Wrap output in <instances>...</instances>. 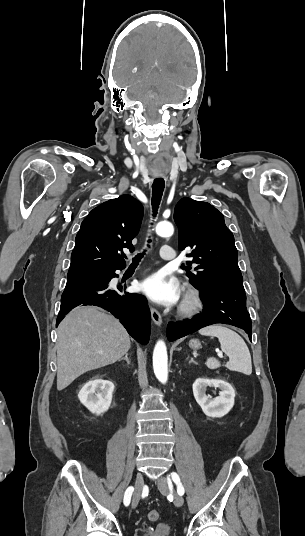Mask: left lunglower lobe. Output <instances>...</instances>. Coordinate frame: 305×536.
Here are the masks:
<instances>
[{
    "mask_svg": "<svg viewBox=\"0 0 305 536\" xmlns=\"http://www.w3.org/2000/svg\"><path fill=\"white\" fill-rule=\"evenodd\" d=\"M203 313L184 321L170 322L167 338L174 341L205 326L225 323L244 329L251 340L252 323L246 309L245 290L241 288H207L202 290Z\"/></svg>",
    "mask_w": 305,
    "mask_h": 536,
    "instance_id": "obj_1",
    "label": "left lung lower lobe"
}]
</instances>
